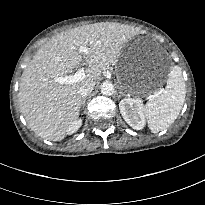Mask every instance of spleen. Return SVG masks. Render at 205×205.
Here are the masks:
<instances>
[{"mask_svg": "<svg viewBox=\"0 0 205 205\" xmlns=\"http://www.w3.org/2000/svg\"><path fill=\"white\" fill-rule=\"evenodd\" d=\"M186 96L182 69L179 66L171 68L167 85L161 94L149 96L144 106V114L152 133L167 129L177 119Z\"/></svg>", "mask_w": 205, "mask_h": 205, "instance_id": "1", "label": "spleen"}]
</instances>
